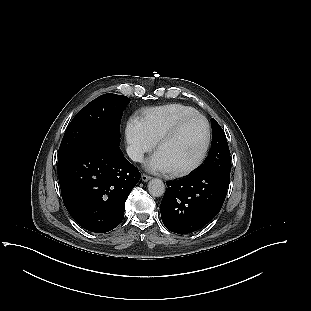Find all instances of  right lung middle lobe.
Wrapping results in <instances>:
<instances>
[{"label":"right lung middle lobe","mask_w":311,"mask_h":311,"mask_svg":"<svg viewBox=\"0 0 311 311\" xmlns=\"http://www.w3.org/2000/svg\"><path fill=\"white\" fill-rule=\"evenodd\" d=\"M129 102L126 96L108 93L82 108L66 129L58 161L89 144L119 145L120 121Z\"/></svg>","instance_id":"obj_1"}]
</instances>
